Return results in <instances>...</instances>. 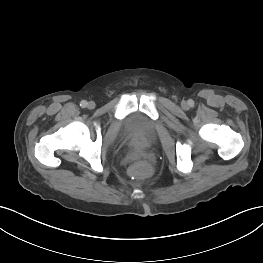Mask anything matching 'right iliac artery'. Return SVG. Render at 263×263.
I'll list each match as a JSON object with an SVG mask.
<instances>
[{"label": "right iliac artery", "instance_id": "1", "mask_svg": "<svg viewBox=\"0 0 263 263\" xmlns=\"http://www.w3.org/2000/svg\"><path fill=\"white\" fill-rule=\"evenodd\" d=\"M80 106H81L82 108H85V107L87 106V101L82 100V101L80 102Z\"/></svg>", "mask_w": 263, "mask_h": 263}]
</instances>
